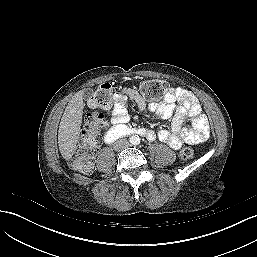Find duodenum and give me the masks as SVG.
<instances>
[{"mask_svg":"<svg viewBox=\"0 0 257 257\" xmlns=\"http://www.w3.org/2000/svg\"><path fill=\"white\" fill-rule=\"evenodd\" d=\"M147 131L145 129L141 128H132L127 126H116L111 128L106 134H105V142L106 143H112L115 140L126 136V135H146Z\"/></svg>","mask_w":257,"mask_h":257,"instance_id":"obj_1","label":"duodenum"}]
</instances>
